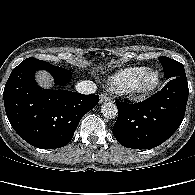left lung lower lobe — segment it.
<instances>
[{"label": "left lung lower lobe", "mask_w": 195, "mask_h": 195, "mask_svg": "<svg viewBox=\"0 0 195 195\" xmlns=\"http://www.w3.org/2000/svg\"><path fill=\"white\" fill-rule=\"evenodd\" d=\"M188 94L187 78L175 77L145 101L136 104L116 101L115 138L133 149H150L162 144L180 126Z\"/></svg>", "instance_id": "left-lung-lower-lobe-1"}]
</instances>
